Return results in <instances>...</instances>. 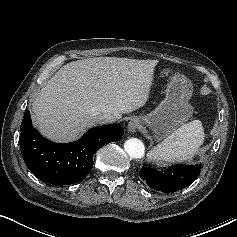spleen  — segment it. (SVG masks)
Instances as JSON below:
<instances>
[{"label":"spleen","mask_w":237,"mask_h":237,"mask_svg":"<svg viewBox=\"0 0 237 237\" xmlns=\"http://www.w3.org/2000/svg\"><path fill=\"white\" fill-rule=\"evenodd\" d=\"M205 139L202 123L193 120L176 129L148 153L155 162H191Z\"/></svg>","instance_id":"1"}]
</instances>
